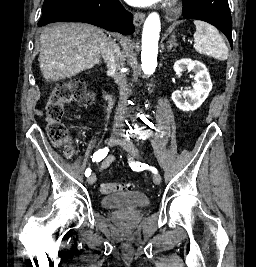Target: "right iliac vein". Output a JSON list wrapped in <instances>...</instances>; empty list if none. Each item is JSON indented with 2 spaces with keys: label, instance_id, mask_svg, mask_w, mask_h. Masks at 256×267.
Returning <instances> with one entry per match:
<instances>
[{
  "label": "right iliac vein",
  "instance_id": "obj_1",
  "mask_svg": "<svg viewBox=\"0 0 256 267\" xmlns=\"http://www.w3.org/2000/svg\"><path fill=\"white\" fill-rule=\"evenodd\" d=\"M118 137H119V133L116 131H113L112 134L110 135L108 141H107V145L108 146H113L117 143L118 141ZM88 184L92 185L95 183L96 181V175L95 174H91L88 178Z\"/></svg>",
  "mask_w": 256,
  "mask_h": 267
}]
</instances>
